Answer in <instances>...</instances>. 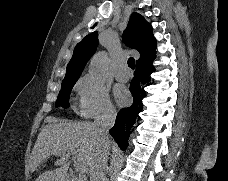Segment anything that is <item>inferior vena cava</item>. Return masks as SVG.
<instances>
[{
	"label": "inferior vena cava",
	"instance_id": "obj_1",
	"mask_svg": "<svg viewBox=\"0 0 228 181\" xmlns=\"http://www.w3.org/2000/svg\"><path fill=\"white\" fill-rule=\"evenodd\" d=\"M116 111L111 105L102 107L94 121L95 133L98 139H101L103 147H100L98 153L94 155L90 165V181H106L105 171L109 159L110 145L107 141L109 137V129H112L115 119Z\"/></svg>",
	"mask_w": 228,
	"mask_h": 181
}]
</instances>
